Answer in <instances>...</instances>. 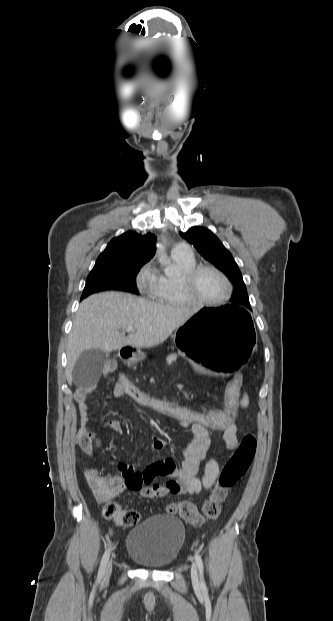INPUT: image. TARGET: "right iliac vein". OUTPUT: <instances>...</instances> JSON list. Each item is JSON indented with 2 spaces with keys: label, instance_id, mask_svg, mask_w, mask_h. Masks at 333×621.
Masks as SVG:
<instances>
[{
  "label": "right iliac vein",
  "instance_id": "63e3f726",
  "mask_svg": "<svg viewBox=\"0 0 333 621\" xmlns=\"http://www.w3.org/2000/svg\"><path fill=\"white\" fill-rule=\"evenodd\" d=\"M111 572H112V564L110 562V563H108V565L106 567V570H105V573H104V578L108 579L110 577V575H111Z\"/></svg>",
  "mask_w": 333,
  "mask_h": 621
}]
</instances>
